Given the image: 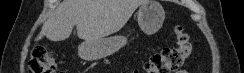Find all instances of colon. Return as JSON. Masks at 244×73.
Listing matches in <instances>:
<instances>
[{
    "instance_id": "colon-1",
    "label": "colon",
    "mask_w": 244,
    "mask_h": 73,
    "mask_svg": "<svg viewBox=\"0 0 244 73\" xmlns=\"http://www.w3.org/2000/svg\"><path fill=\"white\" fill-rule=\"evenodd\" d=\"M176 44L154 53L144 63L148 73H175L190 57L193 45L190 36L180 26L175 28ZM55 58L45 49L36 48L28 62L29 73H56Z\"/></svg>"
}]
</instances>
